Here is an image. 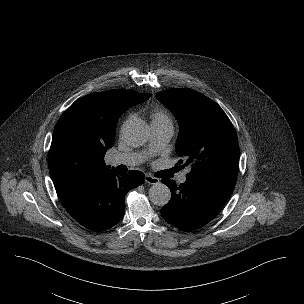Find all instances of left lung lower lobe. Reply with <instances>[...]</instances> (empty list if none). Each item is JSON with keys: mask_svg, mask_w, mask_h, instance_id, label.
<instances>
[{"mask_svg": "<svg viewBox=\"0 0 304 304\" xmlns=\"http://www.w3.org/2000/svg\"><path fill=\"white\" fill-rule=\"evenodd\" d=\"M172 197L161 209L165 221L183 231H192L210 222L224 206L231 194L187 181L177 185L174 180L162 179Z\"/></svg>", "mask_w": 304, "mask_h": 304, "instance_id": "obj_1", "label": "left lung lower lobe"}]
</instances>
